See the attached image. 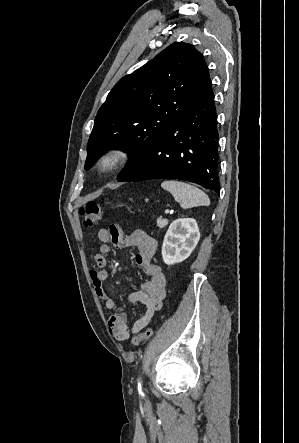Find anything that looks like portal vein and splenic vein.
I'll return each instance as SVG.
<instances>
[{
	"label": "portal vein and splenic vein",
	"mask_w": 299,
	"mask_h": 443,
	"mask_svg": "<svg viewBox=\"0 0 299 443\" xmlns=\"http://www.w3.org/2000/svg\"><path fill=\"white\" fill-rule=\"evenodd\" d=\"M165 213H166V214H168V213H169V210H168V209H166V210H165Z\"/></svg>",
	"instance_id": "obj_1"
}]
</instances>
